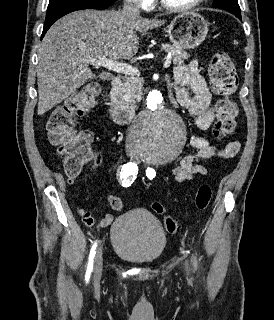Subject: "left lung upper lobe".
I'll return each mask as SVG.
<instances>
[{"label":"left lung upper lobe","instance_id":"left-lung-upper-lobe-1","mask_svg":"<svg viewBox=\"0 0 274 320\" xmlns=\"http://www.w3.org/2000/svg\"><path fill=\"white\" fill-rule=\"evenodd\" d=\"M214 7L225 9L226 11L233 13H241L240 6L237 0H214Z\"/></svg>","mask_w":274,"mask_h":320}]
</instances>
